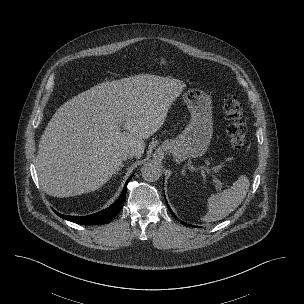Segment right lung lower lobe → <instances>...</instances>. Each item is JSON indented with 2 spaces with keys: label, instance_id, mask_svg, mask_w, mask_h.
<instances>
[{
  "label": "right lung lower lobe",
  "instance_id": "1",
  "mask_svg": "<svg viewBox=\"0 0 304 304\" xmlns=\"http://www.w3.org/2000/svg\"><path fill=\"white\" fill-rule=\"evenodd\" d=\"M132 178V176L127 180L123 191L120 195V197L118 198L117 201H115L110 207L88 215V216H67V215H63L60 214L58 212L55 211V213L60 216L61 218H64L68 221L77 223V224H83V225H101V224H107L109 223L122 209L123 204H124V200H125V196H126V189H127V184L130 181V179Z\"/></svg>",
  "mask_w": 304,
  "mask_h": 304
}]
</instances>
